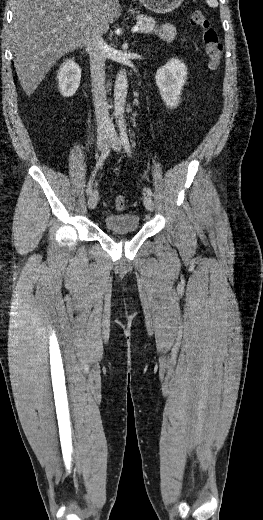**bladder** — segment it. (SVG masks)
<instances>
[{"label": "bladder", "mask_w": 263, "mask_h": 520, "mask_svg": "<svg viewBox=\"0 0 263 520\" xmlns=\"http://www.w3.org/2000/svg\"><path fill=\"white\" fill-rule=\"evenodd\" d=\"M103 227L114 234L136 232L141 227V219L135 213L108 214L103 219Z\"/></svg>", "instance_id": "31cf9c89"}]
</instances>
